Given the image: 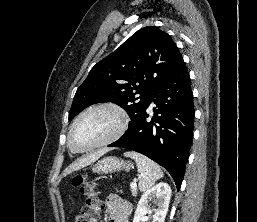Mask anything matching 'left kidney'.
Segmentation results:
<instances>
[{"instance_id": "1", "label": "left kidney", "mask_w": 257, "mask_h": 222, "mask_svg": "<svg viewBox=\"0 0 257 222\" xmlns=\"http://www.w3.org/2000/svg\"><path fill=\"white\" fill-rule=\"evenodd\" d=\"M171 188L167 183H159L147 190L138 202L133 222H141L143 217L150 212L151 201H154L158 208L154 210L152 222H164L171 198Z\"/></svg>"}]
</instances>
